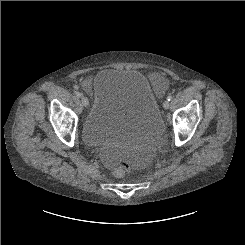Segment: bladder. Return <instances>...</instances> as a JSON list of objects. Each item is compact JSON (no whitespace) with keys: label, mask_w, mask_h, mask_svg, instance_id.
Returning a JSON list of instances; mask_svg holds the SVG:
<instances>
[{"label":"bladder","mask_w":245,"mask_h":245,"mask_svg":"<svg viewBox=\"0 0 245 245\" xmlns=\"http://www.w3.org/2000/svg\"><path fill=\"white\" fill-rule=\"evenodd\" d=\"M163 129L159 102L135 69H103L93 83V102L81 128L87 146H135Z\"/></svg>","instance_id":"bladder-1"}]
</instances>
